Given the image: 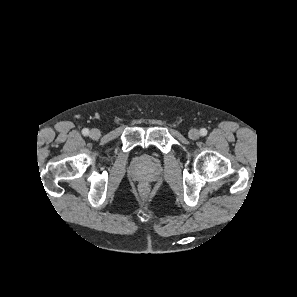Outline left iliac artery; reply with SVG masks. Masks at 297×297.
Segmentation results:
<instances>
[{
    "mask_svg": "<svg viewBox=\"0 0 297 297\" xmlns=\"http://www.w3.org/2000/svg\"><path fill=\"white\" fill-rule=\"evenodd\" d=\"M200 134H201V136H206L207 130L205 128L200 129Z\"/></svg>",
    "mask_w": 297,
    "mask_h": 297,
    "instance_id": "1",
    "label": "left iliac artery"
}]
</instances>
